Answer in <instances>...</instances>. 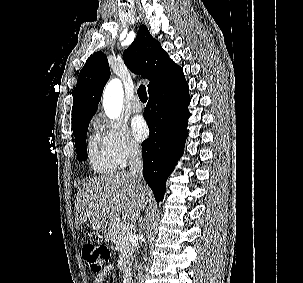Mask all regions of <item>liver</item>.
I'll return each mask as SVG.
<instances>
[{"label":"liver","mask_w":303,"mask_h":283,"mask_svg":"<svg viewBox=\"0 0 303 283\" xmlns=\"http://www.w3.org/2000/svg\"><path fill=\"white\" fill-rule=\"evenodd\" d=\"M150 196L144 180L125 171L90 178L83 183L75 200L76 226L84 222L123 219L136 221Z\"/></svg>","instance_id":"6515ba94"}]
</instances>
